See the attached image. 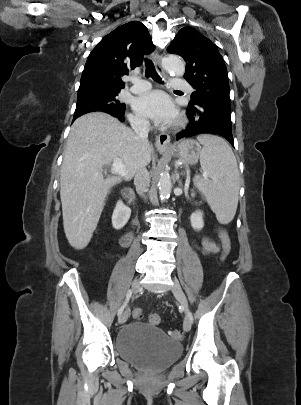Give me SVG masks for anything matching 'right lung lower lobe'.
<instances>
[{"mask_svg": "<svg viewBox=\"0 0 301 405\" xmlns=\"http://www.w3.org/2000/svg\"><path fill=\"white\" fill-rule=\"evenodd\" d=\"M110 115L117 117L120 121H124V114H114V113H109ZM76 118H74L75 120Z\"/></svg>", "mask_w": 301, "mask_h": 405, "instance_id": "1", "label": "right lung lower lobe"}]
</instances>
